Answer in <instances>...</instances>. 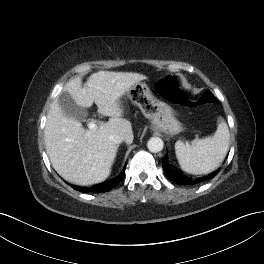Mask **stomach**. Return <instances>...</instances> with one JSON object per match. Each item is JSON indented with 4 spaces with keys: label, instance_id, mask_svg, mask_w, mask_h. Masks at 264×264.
Masks as SVG:
<instances>
[{
    "label": "stomach",
    "instance_id": "0dacf381",
    "mask_svg": "<svg viewBox=\"0 0 264 264\" xmlns=\"http://www.w3.org/2000/svg\"><path fill=\"white\" fill-rule=\"evenodd\" d=\"M127 95L151 121L152 130L168 135H176L183 130L173 108L155 98L146 83H136L127 91Z\"/></svg>",
    "mask_w": 264,
    "mask_h": 264
}]
</instances>
